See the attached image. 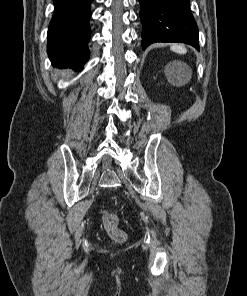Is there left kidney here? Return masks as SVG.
Returning <instances> with one entry per match:
<instances>
[{
  "mask_svg": "<svg viewBox=\"0 0 247 296\" xmlns=\"http://www.w3.org/2000/svg\"><path fill=\"white\" fill-rule=\"evenodd\" d=\"M173 65H174V66H177L178 64L174 63Z\"/></svg>",
  "mask_w": 247,
  "mask_h": 296,
  "instance_id": "5707ae66",
  "label": "left kidney"
}]
</instances>
